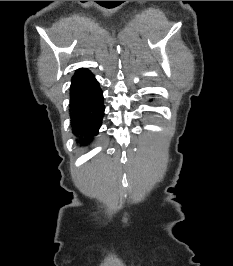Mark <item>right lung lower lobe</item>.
Instances as JSON below:
<instances>
[{"mask_svg": "<svg viewBox=\"0 0 233 266\" xmlns=\"http://www.w3.org/2000/svg\"><path fill=\"white\" fill-rule=\"evenodd\" d=\"M71 118L73 133L80 146H87L97 135L104 113L99 83L88 69H78L72 77Z\"/></svg>", "mask_w": 233, "mask_h": 266, "instance_id": "1", "label": "right lung lower lobe"}]
</instances>
